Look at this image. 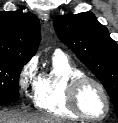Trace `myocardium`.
Wrapping results in <instances>:
<instances>
[{"instance_id": "1", "label": "myocardium", "mask_w": 118, "mask_h": 123, "mask_svg": "<svg viewBox=\"0 0 118 123\" xmlns=\"http://www.w3.org/2000/svg\"><path fill=\"white\" fill-rule=\"evenodd\" d=\"M87 83L94 84L101 92V94L104 97L105 103H106V110L103 115L94 117L87 115L81 108L80 102H79V94L83 86ZM67 102L70 107V109L81 119L86 121H100L105 119L110 110H111V101L109 94L105 88V86L97 79L87 76V75H81L75 78H72L67 85Z\"/></svg>"}]
</instances>
